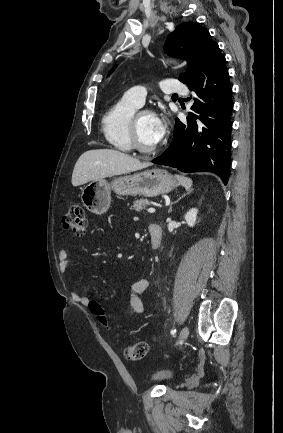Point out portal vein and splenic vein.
<instances>
[{"instance_id": "1", "label": "portal vein and splenic vein", "mask_w": 283, "mask_h": 433, "mask_svg": "<svg viewBox=\"0 0 283 433\" xmlns=\"http://www.w3.org/2000/svg\"><path fill=\"white\" fill-rule=\"evenodd\" d=\"M148 212H155V208H148Z\"/></svg>"}]
</instances>
